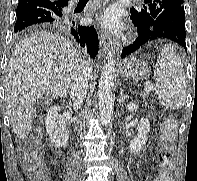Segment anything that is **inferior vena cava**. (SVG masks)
<instances>
[{
    "mask_svg": "<svg viewBox=\"0 0 197 181\" xmlns=\"http://www.w3.org/2000/svg\"><path fill=\"white\" fill-rule=\"evenodd\" d=\"M89 78L90 68L85 64V62H81L80 68L74 76L71 84V99L74 110L81 107L83 100L86 97Z\"/></svg>",
    "mask_w": 197,
    "mask_h": 181,
    "instance_id": "inferior-vena-cava-1",
    "label": "inferior vena cava"
}]
</instances>
